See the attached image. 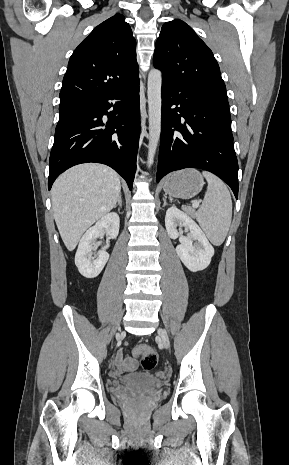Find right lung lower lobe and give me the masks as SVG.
I'll list each match as a JSON object with an SVG mask.
<instances>
[{
	"label": "right lung lower lobe",
	"mask_w": 289,
	"mask_h": 465,
	"mask_svg": "<svg viewBox=\"0 0 289 465\" xmlns=\"http://www.w3.org/2000/svg\"><path fill=\"white\" fill-rule=\"evenodd\" d=\"M111 100L115 102L112 103ZM113 107V111L107 112ZM107 115L108 120L103 118ZM140 135L139 76L124 87L87 101L86 112L57 125L51 150L48 189L68 168L86 162L116 170L130 189Z\"/></svg>",
	"instance_id": "98d812e1"
}]
</instances>
